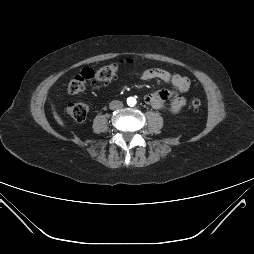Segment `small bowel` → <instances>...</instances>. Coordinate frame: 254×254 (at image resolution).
Returning <instances> with one entry per match:
<instances>
[{
  "label": "small bowel",
  "mask_w": 254,
  "mask_h": 254,
  "mask_svg": "<svg viewBox=\"0 0 254 254\" xmlns=\"http://www.w3.org/2000/svg\"><path fill=\"white\" fill-rule=\"evenodd\" d=\"M134 75L142 80H159L170 84L173 90H159L145 96V102L154 109H162L167 100H170V111L179 113L186 105V99L180 93L187 92L190 88V80L179 74H172L161 68L146 69L134 72Z\"/></svg>",
  "instance_id": "c3829d8e"
}]
</instances>
